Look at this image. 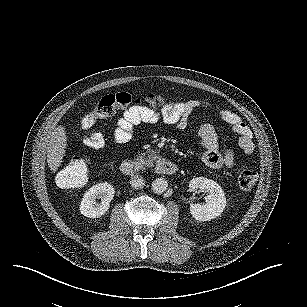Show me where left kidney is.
<instances>
[{"label": "left kidney", "instance_id": "obj_1", "mask_svg": "<svg viewBox=\"0 0 307 307\" xmlns=\"http://www.w3.org/2000/svg\"><path fill=\"white\" fill-rule=\"evenodd\" d=\"M189 189L196 192L205 191V204L191 203L190 213L198 221H210L218 217L225 209L226 197L221 186L211 179L196 177L190 180Z\"/></svg>", "mask_w": 307, "mask_h": 307}]
</instances>
